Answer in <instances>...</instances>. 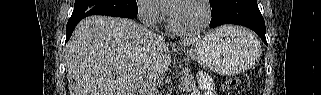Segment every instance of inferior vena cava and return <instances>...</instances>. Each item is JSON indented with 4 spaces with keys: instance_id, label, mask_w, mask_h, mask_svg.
<instances>
[{
    "instance_id": "602c4592",
    "label": "inferior vena cava",
    "mask_w": 321,
    "mask_h": 95,
    "mask_svg": "<svg viewBox=\"0 0 321 95\" xmlns=\"http://www.w3.org/2000/svg\"><path fill=\"white\" fill-rule=\"evenodd\" d=\"M146 26L148 28H155L152 21H147ZM139 94L140 95H158V90L155 82L152 77L145 76L139 85Z\"/></svg>"
}]
</instances>
